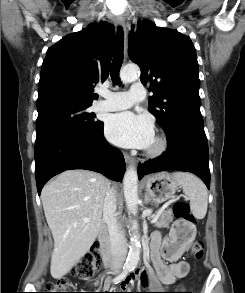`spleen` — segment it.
Returning <instances> with one entry per match:
<instances>
[{"label": "spleen", "instance_id": "1", "mask_svg": "<svg viewBox=\"0 0 245 293\" xmlns=\"http://www.w3.org/2000/svg\"><path fill=\"white\" fill-rule=\"evenodd\" d=\"M171 177L190 200V209L193 216L197 219H203L208 206V193L205 184L199 178L187 172H175Z\"/></svg>", "mask_w": 245, "mask_h": 293}]
</instances>
